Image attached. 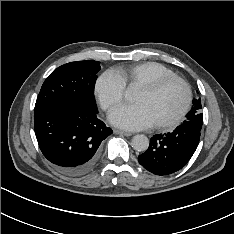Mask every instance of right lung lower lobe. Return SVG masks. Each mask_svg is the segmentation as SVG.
<instances>
[{"instance_id": "right-lung-lower-lobe-1", "label": "right lung lower lobe", "mask_w": 234, "mask_h": 234, "mask_svg": "<svg viewBox=\"0 0 234 234\" xmlns=\"http://www.w3.org/2000/svg\"><path fill=\"white\" fill-rule=\"evenodd\" d=\"M35 134L43 155L60 171L80 175L99 157L102 140L112 129L97 118V109L56 102L34 111Z\"/></svg>"}]
</instances>
